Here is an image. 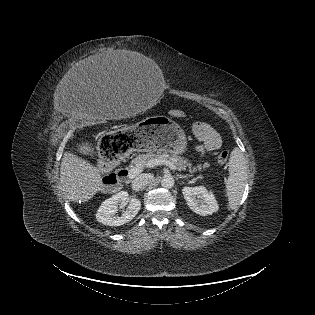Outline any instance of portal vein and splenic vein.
Segmentation results:
<instances>
[{
  "mask_svg": "<svg viewBox=\"0 0 315 315\" xmlns=\"http://www.w3.org/2000/svg\"><path fill=\"white\" fill-rule=\"evenodd\" d=\"M157 165H166L172 170L177 169V167L171 161L166 160V159H155V160L149 161L146 164V167L151 168V167H154ZM141 172H142V167L140 165H137V166H135L129 170L128 176H129V178H134L137 175H139Z\"/></svg>",
  "mask_w": 315,
  "mask_h": 315,
  "instance_id": "18ae733b",
  "label": "portal vein and splenic vein"
}]
</instances>
